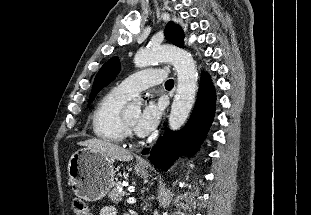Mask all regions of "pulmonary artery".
Here are the masks:
<instances>
[{"mask_svg":"<svg viewBox=\"0 0 311 215\" xmlns=\"http://www.w3.org/2000/svg\"><path fill=\"white\" fill-rule=\"evenodd\" d=\"M164 78V70L149 68L124 78L117 85V88L129 97H132L153 85L161 83Z\"/></svg>","mask_w":311,"mask_h":215,"instance_id":"e3ab8cb5","label":"pulmonary artery"}]
</instances>
